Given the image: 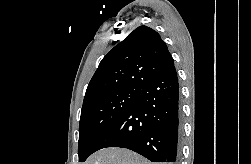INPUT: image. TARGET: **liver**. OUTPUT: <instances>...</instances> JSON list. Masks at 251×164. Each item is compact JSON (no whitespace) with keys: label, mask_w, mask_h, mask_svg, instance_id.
Listing matches in <instances>:
<instances>
[{"label":"liver","mask_w":251,"mask_h":164,"mask_svg":"<svg viewBox=\"0 0 251 164\" xmlns=\"http://www.w3.org/2000/svg\"><path fill=\"white\" fill-rule=\"evenodd\" d=\"M85 164H151L139 154L122 148H106L91 155Z\"/></svg>","instance_id":"6515ba94"}]
</instances>
